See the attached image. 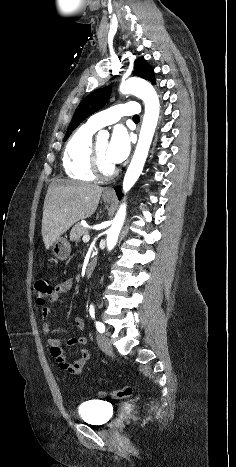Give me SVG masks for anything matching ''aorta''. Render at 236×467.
Segmentation results:
<instances>
[{"mask_svg": "<svg viewBox=\"0 0 236 467\" xmlns=\"http://www.w3.org/2000/svg\"><path fill=\"white\" fill-rule=\"evenodd\" d=\"M119 91L122 94H133L143 100L145 113L139 134L138 143L128 166L123 180V192L127 193L138 180L142 173L150 145L158 123L160 103L153 86L140 78H130L120 84ZM126 217V204L120 205L113 220L112 226L107 231V249L111 251L117 241Z\"/></svg>", "mask_w": 236, "mask_h": 467, "instance_id": "1", "label": "aorta"}]
</instances>
